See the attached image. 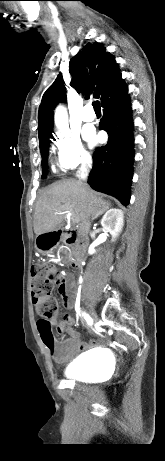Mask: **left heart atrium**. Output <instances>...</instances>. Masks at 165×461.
I'll use <instances>...</instances> for the list:
<instances>
[{"mask_svg": "<svg viewBox=\"0 0 165 461\" xmlns=\"http://www.w3.org/2000/svg\"><path fill=\"white\" fill-rule=\"evenodd\" d=\"M87 139L90 140L91 142H93L95 140V137L93 134H90L87 136Z\"/></svg>", "mask_w": 165, "mask_h": 461, "instance_id": "1", "label": "left heart atrium"}]
</instances>
